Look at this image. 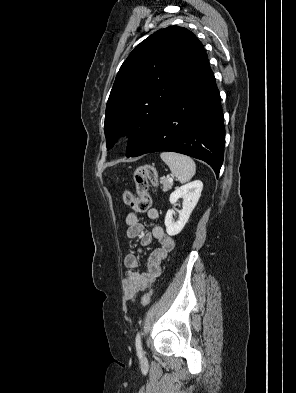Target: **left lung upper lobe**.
<instances>
[{"label":"left lung upper lobe","instance_id":"5c2ea615","mask_svg":"<svg viewBox=\"0 0 296 393\" xmlns=\"http://www.w3.org/2000/svg\"><path fill=\"white\" fill-rule=\"evenodd\" d=\"M207 60L201 42L182 27L158 30L142 41L120 67L107 102V148L129 133L131 156Z\"/></svg>","mask_w":296,"mask_h":393}]
</instances>
